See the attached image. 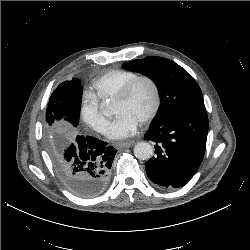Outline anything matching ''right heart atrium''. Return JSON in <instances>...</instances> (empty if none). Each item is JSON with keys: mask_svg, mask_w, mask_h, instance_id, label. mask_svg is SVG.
<instances>
[{"mask_svg": "<svg viewBox=\"0 0 250 250\" xmlns=\"http://www.w3.org/2000/svg\"><path fill=\"white\" fill-rule=\"evenodd\" d=\"M80 118L92 130L105 133L108 121L102 114L100 103L89 93L81 101Z\"/></svg>", "mask_w": 250, "mask_h": 250, "instance_id": "d8ad5b80", "label": "right heart atrium"}]
</instances>
